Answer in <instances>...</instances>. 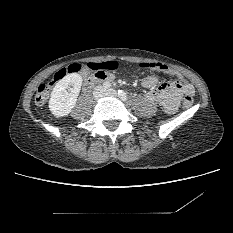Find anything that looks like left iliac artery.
Returning <instances> with one entry per match:
<instances>
[{
  "label": "left iliac artery",
  "instance_id": "obj_1",
  "mask_svg": "<svg viewBox=\"0 0 233 233\" xmlns=\"http://www.w3.org/2000/svg\"><path fill=\"white\" fill-rule=\"evenodd\" d=\"M118 95L122 100H127V95L123 90H118Z\"/></svg>",
  "mask_w": 233,
  "mask_h": 233
}]
</instances>
